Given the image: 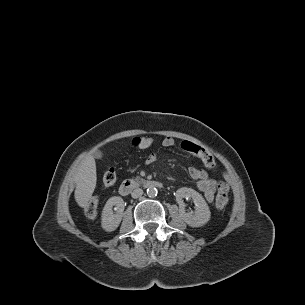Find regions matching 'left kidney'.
<instances>
[{
    "mask_svg": "<svg viewBox=\"0 0 305 305\" xmlns=\"http://www.w3.org/2000/svg\"><path fill=\"white\" fill-rule=\"evenodd\" d=\"M176 201L179 205V215L181 219L191 227H201L205 225L211 216L209 206L203 196L194 189L182 187L175 193ZM183 198H192L195 204V211L185 212V203Z\"/></svg>",
    "mask_w": 305,
    "mask_h": 305,
    "instance_id": "left-kidney-1",
    "label": "left kidney"
}]
</instances>
